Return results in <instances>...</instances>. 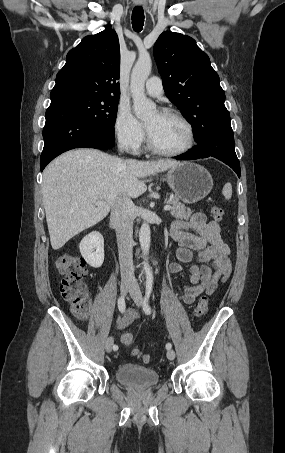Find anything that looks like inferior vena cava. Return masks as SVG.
I'll return each mask as SVG.
<instances>
[{"label": "inferior vena cava", "instance_id": "602c4592", "mask_svg": "<svg viewBox=\"0 0 285 453\" xmlns=\"http://www.w3.org/2000/svg\"><path fill=\"white\" fill-rule=\"evenodd\" d=\"M122 151V147L119 146ZM134 204L129 197H119L111 208L110 223L116 230L122 282L136 283L133 266Z\"/></svg>", "mask_w": 285, "mask_h": 453}]
</instances>
